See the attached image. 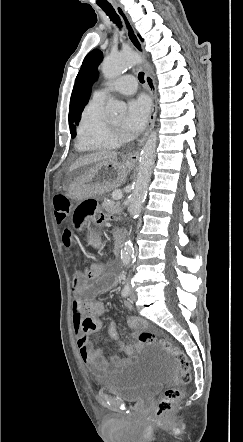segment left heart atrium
<instances>
[{"mask_svg": "<svg viewBox=\"0 0 243 442\" xmlns=\"http://www.w3.org/2000/svg\"><path fill=\"white\" fill-rule=\"evenodd\" d=\"M150 111V104L146 97L139 96L129 101L127 113L124 120V128L129 132L141 131Z\"/></svg>", "mask_w": 243, "mask_h": 442, "instance_id": "39dd6f15", "label": "left heart atrium"}]
</instances>
